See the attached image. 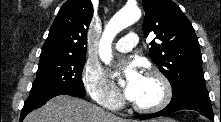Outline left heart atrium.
<instances>
[{"label": "left heart atrium", "mask_w": 221, "mask_h": 122, "mask_svg": "<svg viewBox=\"0 0 221 122\" xmlns=\"http://www.w3.org/2000/svg\"><path fill=\"white\" fill-rule=\"evenodd\" d=\"M115 76H122L124 78V95L129 100H133L138 94L144 79V76L138 69V64L136 62H128L124 64Z\"/></svg>", "instance_id": "obj_1"}]
</instances>
